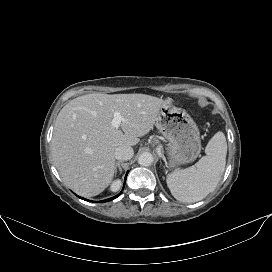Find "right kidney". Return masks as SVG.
Returning a JSON list of instances; mask_svg holds the SVG:
<instances>
[{"label": "right kidney", "mask_w": 272, "mask_h": 272, "mask_svg": "<svg viewBox=\"0 0 272 272\" xmlns=\"http://www.w3.org/2000/svg\"><path fill=\"white\" fill-rule=\"evenodd\" d=\"M120 187V180H115L114 182H112L110 190L115 192L119 189Z\"/></svg>", "instance_id": "obj_1"}]
</instances>
